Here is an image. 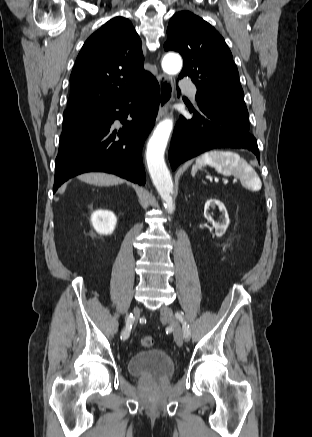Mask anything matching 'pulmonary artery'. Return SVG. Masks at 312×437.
<instances>
[{
	"mask_svg": "<svg viewBox=\"0 0 312 437\" xmlns=\"http://www.w3.org/2000/svg\"><path fill=\"white\" fill-rule=\"evenodd\" d=\"M180 86L183 89H186L189 91L190 95L195 98L196 94H197V89L186 79H181L180 81Z\"/></svg>",
	"mask_w": 312,
	"mask_h": 437,
	"instance_id": "1",
	"label": "pulmonary artery"
}]
</instances>
